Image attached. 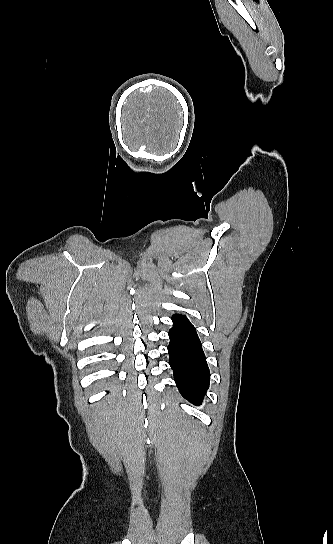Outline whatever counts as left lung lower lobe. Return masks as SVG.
I'll use <instances>...</instances> for the list:
<instances>
[{"label":"left lung lower lobe","instance_id":"0a47b994","mask_svg":"<svg viewBox=\"0 0 333 544\" xmlns=\"http://www.w3.org/2000/svg\"><path fill=\"white\" fill-rule=\"evenodd\" d=\"M169 330V364L182 396L200 405L209 388L210 372L195 327L185 315L172 316Z\"/></svg>","mask_w":333,"mask_h":544}]
</instances>
